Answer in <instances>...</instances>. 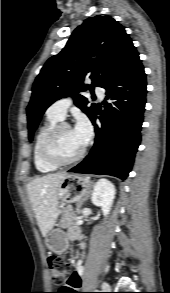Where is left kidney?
<instances>
[{
	"instance_id": "1",
	"label": "left kidney",
	"mask_w": 170,
	"mask_h": 293,
	"mask_svg": "<svg viewBox=\"0 0 170 293\" xmlns=\"http://www.w3.org/2000/svg\"><path fill=\"white\" fill-rule=\"evenodd\" d=\"M115 194V186L107 179H100L94 186L91 201L95 206L101 207L103 215L107 216L113 205Z\"/></svg>"
}]
</instances>
